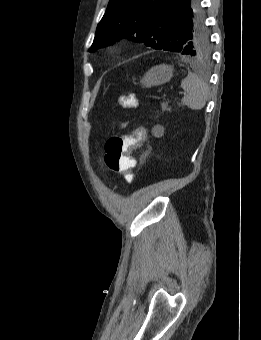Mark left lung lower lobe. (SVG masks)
<instances>
[{
    "instance_id": "obj_1",
    "label": "left lung lower lobe",
    "mask_w": 261,
    "mask_h": 340,
    "mask_svg": "<svg viewBox=\"0 0 261 340\" xmlns=\"http://www.w3.org/2000/svg\"><path fill=\"white\" fill-rule=\"evenodd\" d=\"M198 5H200V0H165L160 11L164 12L165 18L176 20L183 14L191 17Z\"/></svg>"
}]
</instances>
